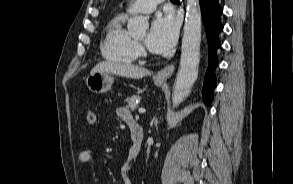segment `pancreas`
Segmentation results:
<instances>
[{
    "instance_id": "obj_1",
    "label": "pancreas",
    "mask_w": 293,
    "mask_h": 184,
    "mask_svg": "<svg viewBox=\"0 0 293 184\" xmlns=\"http://www.w3.org/2000/svg\"><path fill=\"white\" fill-rule=\"evenodd\" d=\"M125 102L128 103V106L131 111H134L138 107V103L140 102V96L133 95L131 98H126Z\"/></svg>"
}]
</instances>
